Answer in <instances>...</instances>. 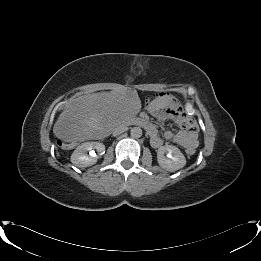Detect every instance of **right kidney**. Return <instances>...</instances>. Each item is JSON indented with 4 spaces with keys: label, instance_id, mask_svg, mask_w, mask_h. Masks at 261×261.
<instances>
[{
    "label": "right kidney",
    "instance_id": "ca27d5eb",
    "mask_svg": "<svg viewBox=\"0 0 261 261\" xmlns=\"http://www.w3.org/2000/svg\"><path fill=\"white\" fill-rule=\"evenodd\" d=\"M98 154L105 152V145L100 142H84L71 155V162L77 167H89L97 162ZM89 152V155L87 154Z\"/></svg>",
    "mask_w": 261,
    "mask_h": 261
}]
</instances>
